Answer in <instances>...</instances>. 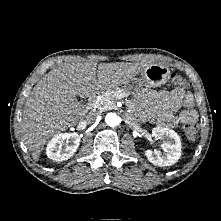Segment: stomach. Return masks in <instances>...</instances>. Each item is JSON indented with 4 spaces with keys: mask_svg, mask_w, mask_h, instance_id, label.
I'll return each instance as SVG.
<instances>
[{
    "mask_svg": "<svg viewBox=\"0 0 221 221\" xmlns=\"http://www.w3.org/2000/svg\"><path fill=\"white\" fill-rule=\"evenodd\" d=\"M170 78V69L161 64H151L141 73V79L134 78L125 84L124 90L128 94H133L135 100L141 90L153 93V88L164 85ZM144 115L145 112H142Z\"/></svg>",
    "mask_w": 221,
    "mask_h": 221,
    "instance_id": "0dacf381",
    "label": "stomach"
}]
</instances>
